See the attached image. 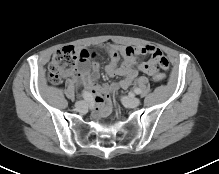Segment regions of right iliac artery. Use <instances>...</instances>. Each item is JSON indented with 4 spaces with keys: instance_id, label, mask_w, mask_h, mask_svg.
<instances>
[{
    "instance_id": "right-iliac-artery-1",
    "label": "right iliac artery",
    "mask_w": 219,
    "mask_h": 174,
    "mask_svg": "<svg viewBox=\"0 0 219 174\" xmlns=\"http://www.w3.org/2000/svg\"><path fill=\"white\" fill-rule=\"evenodd\" d=\"M83 97L86 101H90L92 99L91 94L87 91L83 92Z\"/></svg>"
}]
</instances>
